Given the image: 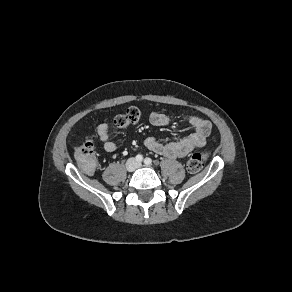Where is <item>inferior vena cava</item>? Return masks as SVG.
Instances as JSON below:
<instances>
[{
  "instance_id": "1",
  "label": "inferior vena cava",
  "mask_w": 292,
  "mask_h": 292,
  "mask_svg": "<svg viewBox=\"0 0 292 292\" xmlns=\"http://www.w3.org/2000/svg\"><path fill=\"white\" fill-rule=\"evenodd\" d=\"M129 161L134 162V168H137L139 166V164L135 160H133L132 158H130Z\"/></svg>"
}]
</instances>
